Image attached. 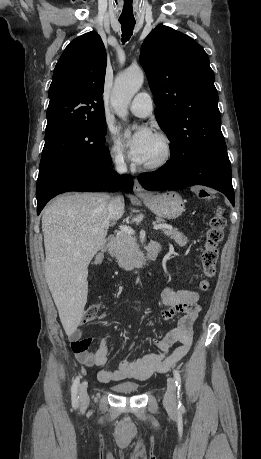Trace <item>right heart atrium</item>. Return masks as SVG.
<instances>
[{
    "label": "right heart atrium",
    "mask_w": 261,
    "mask_h": 459,
    "mask_svg": "<svg viewBox=\"0 0 261 459\" xmlns=\"http://www.w3.org/2000/svg\"><path fill=\"white\" fill-rule=\"evenodd\" d=\"M109 154L114 166L118 170H125L127 167V156L122 144L115 138L110 139Z\"/></svg>",
    "instance_id": "d8ad5b80"
}]
</instances>
